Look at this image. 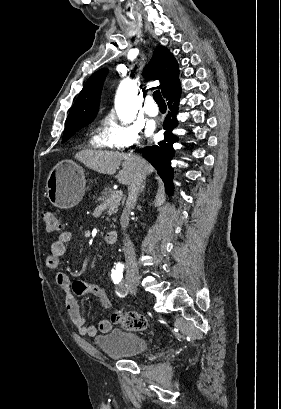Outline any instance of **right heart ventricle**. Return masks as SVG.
Masks as SVG:
<instances>
[{"instance_id": "e07e8e85", "label": "right heart ventricle", "mask_w": 281, "mask_h": 409, "mask_svg": "<svg viewBox=\"0 0 281 409\" xmlns=\"http://www.w3.org/2000/svg\"><path fill=\"white\" fill-rule=\"evenodd\" d=\"M93 144H94V147H96V148L102 149V148L105 147L104 143L102 142V140H101V138H100V135L97 136V137L94 139V143H93Z\"/></svg>"}]
</instances>
